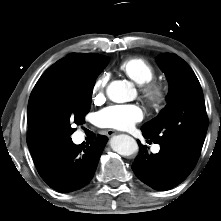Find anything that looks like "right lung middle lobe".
Instances as JSON below:
<instances>
[{"label":"right lung middle lobe","mask_w":221,"mask_h":221,"mask_svg":"<svg viewBox=\"0 0 221 221\" xmlns=\"http://www.w3.org/2000/svg\"><path fill=\"white\" fill-rule=\"evenodd\" d=\"M109 58L80 66L61 77L34 103L28 120L27 143L31 153L71 141L72 124L84 123L91 107L95 80Z\"/></svg>","instance_id":"dd1d6c3e"}]
</instances>
